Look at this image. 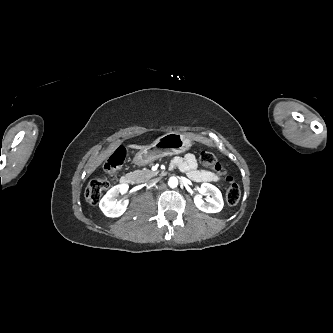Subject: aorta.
Returning a JSON list of instances; mask_svg holds the SVG:
<instances>
[{"label": "aorta", "instance_id": "obj_1", "mask_svg": "<svg viewBox=\"0 0 333 333\" xmlns=\"http://www.w3.org/2000/svg\"><path fill=\"white\" fill-rule=\"evenodd\" d=\"M178 183H179V182H178L177 177L172 176V177L169 178L168 185H169L170 187L175 188V187L178 186Z\"/></svg>", "mask_w": 333, "mask_h": 333}]
</instances>
